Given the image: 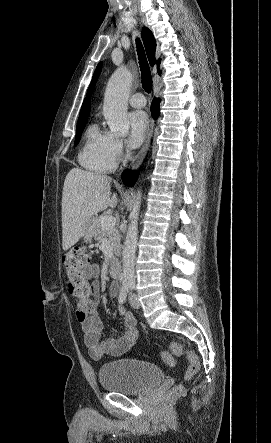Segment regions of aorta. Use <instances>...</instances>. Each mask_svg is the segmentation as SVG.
<instances>
[{
	"mask_svg": "<svg viewBox=\"0 0 271 443\" xmlns=\"http://www.w3.org/2000/svg\"><path fill=\"white\" fill-rule=\"evenodd\" d=\"M132 74L127 68H117L112 74L105 90L103 102V116L111 132L125 134L130 128L127 106L131 90ZM141 206V192L138 190L129 214L130 223L127 227V235L123 247V281L134 283L135 269L134 259L138 241V218Z\"/></svg>",
	"mask_w": 271,
	"mask_h": 443,
	"instance_id": "762f6f07",
	"label": "aorta"
}]
</instances>
